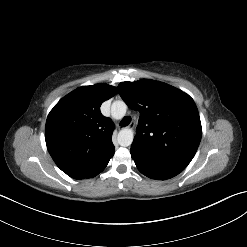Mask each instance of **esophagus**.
I'll use <instances>...</instances> for the list:
<instances>
[{
    "label": "esophagus",
    "instance_id": "esophagus-1",
    "mask_svg": "<svg viewBox=\"0 0 247 247\" xmlns=\"http://www.w3.org/2000/svg\"><path fill=\"white\" fill-rule=\"evenodd\" d=\"M134 126H135V123H134V122H131V123L128 125L129 128H133Z\"/></svg>",
    "mask_w": 247,
    "mask_h": 247
}]
</instances>
